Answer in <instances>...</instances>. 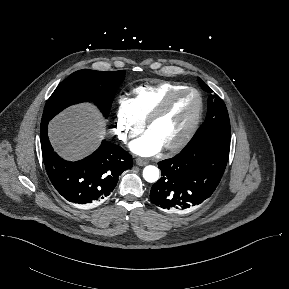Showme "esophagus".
I'll list each match as a JSON object with an SVG mask.
<instances>
[{
  "instance_id": "34e87169",
  "label": "esophagus",
  "mask_w": 289,
  "mask_h": 289,
  "mask_svg": "<svg viewBox=\"0 0 289 289\" xmlns=\"http://www.w3.org/2000/svg\"><path fill=\"white\" fill-rule=\"evenodd\" d=\"M136 164L139 165V166H145L148 164V161L144 160V159H141V158H137L136 159Z\"/></svg>"
}]
</instances>
